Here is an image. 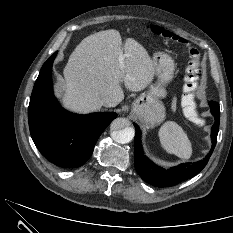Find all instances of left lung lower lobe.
Segmentation results:
<instances>
[{
    "mask_svg": "<svg viewBox=\"0 0 233 233\" xmlns=\"http://www.w3.org/2000/svg\"><path fill=\"white\" fill-rule=\"evenodd\" d=\"M209 106L212 115L215 117V123L213 124L211 129L213 146L209 154L206 156V158L203 161L193 164L190 163L180 164L176 167L166 170L151 162L143 154L141 148L140 131L138 126L134 124L136 129V134L134 139L135 167L138 174L141 176V178L144 181L157 187L173 186L183 180L192 178L206 166L217 142L219 119H220L219 104L216 103L215 101H211L209 102Z\"/></svg>",
    "mask_w": 233,
    "mask_h": 233,
    "instance_id": "0a47b994",
    "label": "left lung lower lobe"
}]
</instances>
